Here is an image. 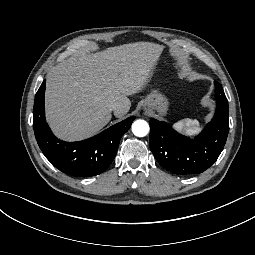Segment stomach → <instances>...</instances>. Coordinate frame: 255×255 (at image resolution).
I'll list each match as a JSON object with an SVG mask.
<instances>
[{"mask_svg":"<svg viewBox=\"0 0 255 255\" xmlns=\"http://www.w3.org/2000/svg\"><path fill=\"white\" fill-rule=\"evenodd\" d=\"M168 107V98L158 90H152L151 93L146 96L143 103L144 110L149 112L155 110L158 113V117H163L166 115Z\"/></svg>","mask_w":255,"mask_h":255,"instance_id":"obj_1","label":"stomach"}]
</instances>
